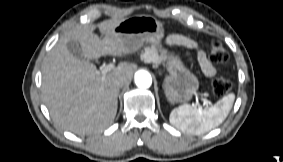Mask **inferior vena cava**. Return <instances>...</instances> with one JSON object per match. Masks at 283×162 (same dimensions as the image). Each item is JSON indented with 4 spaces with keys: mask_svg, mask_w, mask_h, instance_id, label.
<instances>
[{
    "mask_svg": "<svg viewBox=\"0 0 283 162\" xmlns=\"http://www.w3.org/2000/svg\"><path fill=\"white\" fill-rule=\"evenodd\" d=\"M115 84L118 87H122L125 84V79L123 77L117 78Z\"/></svg>",
    "mask_w": 283,
    "mask_h": 162,
    "instance_id": "obj_1",
    "label": "inferior vena cava"
}]
</instances>
